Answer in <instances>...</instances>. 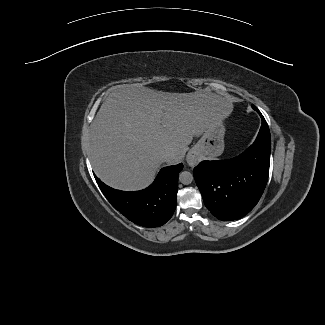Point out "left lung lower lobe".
<instances>
[{
  "label": "left lung lower lobe",
  "instance_id": "1",
  "mask_svg": "<svg viewBox=\"0 0 325 325\" xmlns=\"http://www.w3.org/2000/svg\"><path fill=\"white\" fill-rule=\"evenodd\" d=\"M262 126L255 142L229 160L202 161L193 170L205 206L222 221L236 220L259 201L269 174L271 136L260 111Z\"/></svg>",
  "mask_w": 325,
  "mask_h": 325
}]
</instances>
